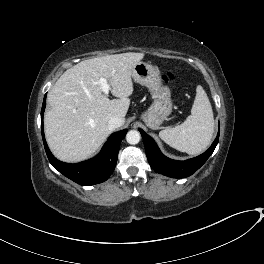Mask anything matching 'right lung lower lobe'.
<instances>
[{
  "instance_id": "98d812e1",
  "label": "right lung lower lobe",
  "mask_w": 264,
  "mask_h": 264,
  "mask_svg": "<svg viewBox=\"0 0 264 264\" xmlns=\"http://www.w3.org/2000/svg\"><path fill=\"white\" fill-rule=\"evenodd\" d=\"M46 106V95L41 109V132L45 151L50 163L64 176L82 185L89 186L99 184L108 179L115 169L120 143L127 133V130L113 133L102 148L100 154L90 160L69 164L57 160L50 152L43 129V114Z\"/></svg>"
}]
</instances>
